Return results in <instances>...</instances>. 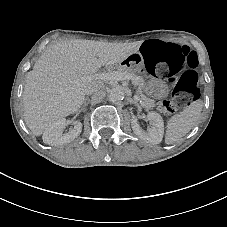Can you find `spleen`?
I'll use <instances>...</instances> for the list:
<instances>
[{
    "mask_svg": "<svg viewBox=\"0 0 227 227\" xmlns=\"http://www.w3.org/2000/svg\"><path fill=\"white\" fill-rule=\"evenodd\" d=\"M201 110V102L196 101L181 113L174 115L167 125L166 144H173L184 137L197 123Z\"/></svg>",
    "mask_w": 227,
    "mask_h": 227,
    "instance_id": "1",
    "label": "spleen"
}]
</instances>
